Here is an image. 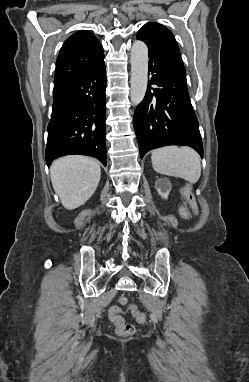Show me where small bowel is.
<instances>
[{
  "label": "small bowel",
  "instance_id": "obj_1",
  "mask_svg": "<svg viewBox=\"0 0 249 382\" xmlns=\"http://www.w3.org/2000/svg\"><path fill=\"white\" fill-rule=\"evenodd\" d=\"M180 214L183 216V217H186L187 216V213L184 209H181L180 210Z\"/></svg>",
  "mask_w": 249,
  "mask_h": 382
}]
</instances>
